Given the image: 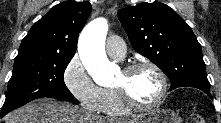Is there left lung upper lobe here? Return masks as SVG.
Here are the masks:
<instances>
[{
  "instance_id": "5c2ea615",
  "label": "left lung upper lobe",
  "mask_w": 221,
  "mask_h": 123,
  "mask_svg": "<svg viewBox=\"0 0 221 123\" xmlns=\"http://www.w3.org/2000/svg\"><path fill=\"white\" fill-rule=\"evenodd\" d=\"M118 16L134 50L169 77L170 90L183 86L210 90L201 45L172 8L144 2L120 9Z\"/></svg>"
}]
</instances>
